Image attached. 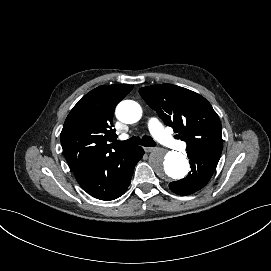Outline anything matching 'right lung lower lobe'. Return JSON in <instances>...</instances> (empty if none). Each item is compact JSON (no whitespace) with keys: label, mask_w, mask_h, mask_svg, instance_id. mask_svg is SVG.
<instances>
[{"label":"right lung lower lobe","mask_w":271,"mask_h":271,"mask_svg":"<svg viewBox=\"0 0 271 271\" xmlns=\"http://www.w3.org/2000/svg\"><path fill=\"white\" fill-rule=\"evenodd\" d=\"M143 154L142 147L128 148L105 161L78 183L88 194L97 199L114 200L127 190L134 167Z\"/></svg>","instance_id":"obj_1"}]
</instances>
